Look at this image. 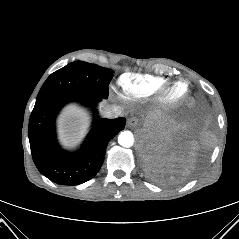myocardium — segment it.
<instances>
[{"label":"myocardium","mask_w":239,"mask_h":239,"mask_svg":"<svg viewBox=\"0 0 239 239\" xmlns=\"http://www.w3.org/2000/svg\"><path fill=\"white\" fill-rule=\"evenodd\" d=\"M180 87L183 88V92L178 96H174V91ZM189 92V84L184 80H178L169 83L156 93V103L160 108L173 109L181 105L187 99Z\"/></svg>","instance_id":"1"}]
</instances>
